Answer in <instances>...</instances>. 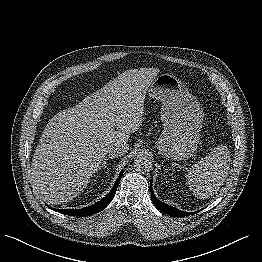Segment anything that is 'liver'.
Segmentation results:
<instances>
[{"mask_svg":"<svg viewBox=\"0 0 262 262\" xmlns=\"http://www.w3.org/2000/svg\"><path fill=\"white\" fill-rule=\"evenodd\" d=\"M158 74L157 68L127 70L48 122L30 172L32 186L48 203L77 197L100 168L108 147L127 143L129 134L139 129L146 92Z\"/></svg>","mask_w":262,"mask_h":262,"instance_id":"liver-1","label":"liver"}]
</instances>
